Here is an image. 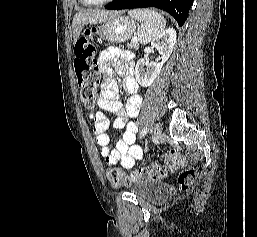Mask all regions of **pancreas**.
<instances>
[{"label": "pancreas", "instance_id": "pancreas-1", "mask_svg": "<svg viewBox=\"0 0 257 237\" xmlns=\"http://www.w3.org/2000/svg\"><path fill=\"white\" fill-rule=\"evenodd\" d=\"M127 47L129 49H138L139 48V44H138V42H131V43L127 44Z\"/></svg>", "mask_w": 257, "mask_h": 237}]
</instances>
